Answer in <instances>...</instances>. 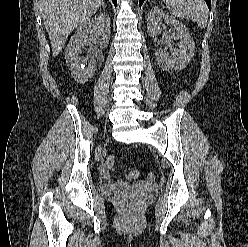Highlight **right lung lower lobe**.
Returning <instances> with one entry per match:
<instances>
[{"instance_id":"98d812e1","label":"right lung lower lobe","mask_w":248,"mask_h":247,"mask_svg":"<svg viewBox=\"0 0 248 247\" xmlns=\"http://www.w3.org/2000/svg\"><path fill=\"white\" fill-rule=\"evenodd\" d=\"M112 1H113L114 5L116 7L117 6V0H112Z\"/></svg>"}]
</instances>
